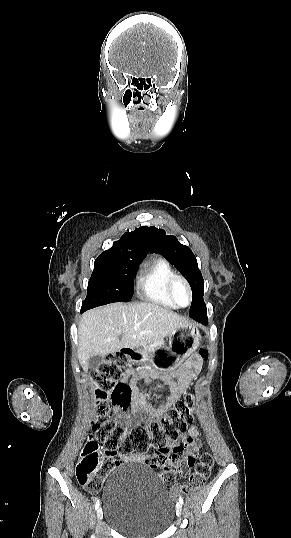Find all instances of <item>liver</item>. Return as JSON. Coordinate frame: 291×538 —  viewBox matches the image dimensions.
<instances>
[{
  "label": "liver",
  "mask_w": 291,
  "mask_h": 538,
  "mask_svg": "<svg viewBox=\"0 0 291 538\" xmlns=\"http://www.w3.org/2000/svg\"><path fill=\"white\" fill-rule=\"evenodd\" d=\"M189 324L188 319L150 302L113 303L93 309L82 315L79 324V362L86 370L92 356L142 347Z\"/></svg>",
  "instance_id": "liver-1"
}]
</instances>
